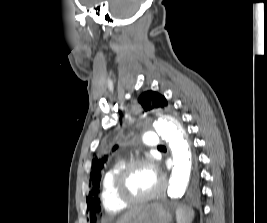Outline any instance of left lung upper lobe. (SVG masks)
<instances>
[{"label": "left lung upper lobe", "instance_id": "obj_1", "mask_svg": "<svg viewBox=\"0 0 267 223\" xmlns=\"http://www.w3.org/2000/svg\"><path fill=\"white\" fill-rule=\"evenodd\" d=\"M138 102L143 107L145 112L156 108L170 107L166 98L154 91H146L138 98ZM116 147H114V150ZM107 156L95 157L92 161V172L90 174L91 191L87 197V214H106V209H103L102 203L98 199L101 174L104 166L107 163Z\"/></svg>", "mask_w": 267, "mask_h": 223}]
</instances>
